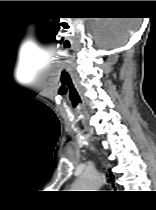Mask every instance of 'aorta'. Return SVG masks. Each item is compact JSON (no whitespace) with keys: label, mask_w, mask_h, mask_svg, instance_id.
I'll return each instance as SVG.
<instances>
[{"label":"aorta","mask_w":156,"mask_h":210,"mask_svg":"<svg viewBox=\"0 0 156 210\" xmlns=\"http://www.w3.org/2000/svg\"><path fill=\"white\" fill-rule=\"evenodd\" d=\"M102 184L101 175L95 170H86L76 180L74 189L78 191H93Z\"/></svg>","instance_id":"obj_1"}]
</instances>
